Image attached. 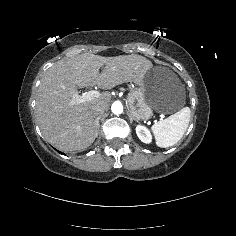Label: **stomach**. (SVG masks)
<instances>
[{
    "mask_svg": "<svg viewBox=\"0 0 236 236\" xmlns=\"http://www.w3.org/2000/svg\"><path fill=\"white\" fill-rule=\"evenodd\" d=\"M139 87L128 94L127 102L136 120L149 119L153 111L172 114L184 104L186 93L173 72L154 67L147 72Z\"/></svg>",
    "mask_w": 236,
    "mask_h": 236,
    "instance_id": "1",
    "label": "stomach"
}]
</instances>
